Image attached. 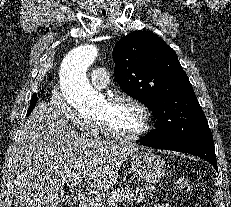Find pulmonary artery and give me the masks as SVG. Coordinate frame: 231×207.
<instances>
[{
	"label": "pulmonary artery",
	"mask_w": 231,
	"mask_h": 207,
	"mask_svg": "<svg viewBox=\"0 0 231 207\" xmlns=\"http://www.w3.org/2000/svg\"><path fill=\"white\" fill-rule=\"evenodd\" d=\"M90 81L96 88L103 89L110 82L109 73L104 67H96L90 73Z\"/></svg>",
	"instance_id": "e3ab8cb5"
}]
</instances>
